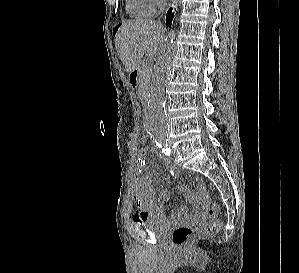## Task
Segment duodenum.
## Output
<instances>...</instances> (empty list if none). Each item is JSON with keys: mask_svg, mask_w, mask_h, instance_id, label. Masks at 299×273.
<instances>
[{"mask_svg": "<svg viewBox=\"0 0 299 273\" xmlns=\"http://www.w3.org/2000/svg\"><path fill=\"white\" fill-rule=\"evenodd\" d=\"M136 80H137V71L134 70L130 74V81H131V84L133 87H135V85H136Z\"/></svg>", "mask_w": 299, "mask_h": 273, "instance_id": "obj_1", "label": "duodenum"}]
</instances>
